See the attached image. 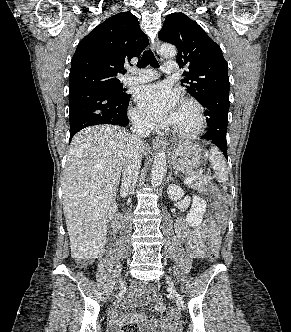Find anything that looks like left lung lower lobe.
<instances>
[{
    "instance_id": "0a47b994",
    "label": "left lung lower lobe",
    "mask_w": 291,
    "mask_h": 332,
    "mask_svg": "<svg viewBox=\"0 0 291 332\" xmlns=\"http://www.w3.org/2000/svg\"><path fill=\"white\" fill-rule=\"evenodd\" d=\"M206 109V121L208 131L202 136L203 139L211 141L221 149L227 158V121L229 111V97L211 96L208 100L201 103Z\"/></svg>"
}]
</instances>
